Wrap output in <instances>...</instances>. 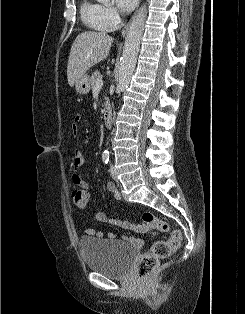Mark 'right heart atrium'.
Wrapping results in <instances>:
<instances>
[{"label":"right heart atrium","instance_id":"right-heart-atrium-1","mask_svg":"<svg viewBox=\"0 0 245 314\" xmlns=\"http://www.w3.org/2000/svg\"><path fill=\"white\" fill-rule=\"evenodd\" d=\"M120 20L119 12L112 6L100 5L99 22L104 31L114 29Z\"/></svg>","mask_w":245,"mask_h":314}]
</instances>
